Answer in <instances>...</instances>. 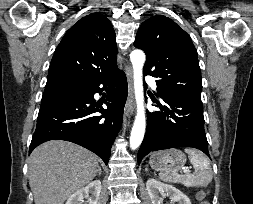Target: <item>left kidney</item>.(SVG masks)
<instances>
[{
    "label": "left kidney",
    "instance_id": "obj_1",
    "mask_svg": "<svg viewBox=\"0 0 253 204\" xmlns=\"http://www.w3.org/2000/svg\"><path fill=\"white\" fill-rule=\"evenodd\" d=\"M146 188L152 204H161L163 198L166 196H169L171 201L177 202L178 204H191L190 199L179 189L161 183L156 179H149L146 182Z\"/></svg>",
    "mask_w": 253,
    "mask_h": 204
}]
</instances>
